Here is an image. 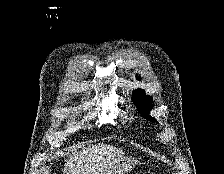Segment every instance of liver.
I'll use <instances>...</instances> for the list:
<instances>
[{"label": "liver", "instance_id": "6515ba94", "mask_svg": "<svg viewBox=\"0 0 224 174\" xmlns=\"http://www.w3.org/2000/svg\"><path fill=\"white\" fill-rule=\"evenodd\" d=\"M124 152L111 145L98 144L74 151L64 166V174H97L122 160Z\"/></svg>", "mask_w": 224, "mask_h": 174}]
</instances>
